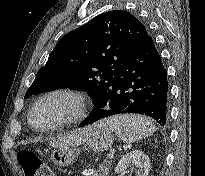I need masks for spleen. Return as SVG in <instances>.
<instances>
[{"mask_svg": "<svg viewBox=\"0 0 205 176\" xmlns=\"http://www.w3.org/2000/svg\"><path fill=\"white\" fill-rule=\"evenodd\" d=\"M108 127L125 143L144 139L155 132V126L146 117L132 114L114 115L98 123Z\"/></svg>", "mask_w": 205, "mask_h": 176, "instance_id": "3e777b00", "label": "spleen"}]
</instances>
